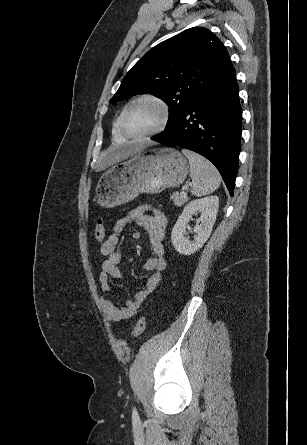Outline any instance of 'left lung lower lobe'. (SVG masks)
I'll use <instances>...</instances> for the list:
<instances>
[{
  "label": "left lung lower lobe",
  "mask_w": 307,
  "mask_h": 445,
  "mask_svg": "<svg viewBox=\"0 0 307 445\" xmlns=\"http://www.w3.org/2000/svg\"><path fill=\"white\" fill-rule=\"evenodd\" d=\"M242 110L235 69L204 92L168 129L152 140L206 157L219 170L231 196L238 170Z\"/></svg>",
  "instance_id": "obj_1"
}]
</instances>
